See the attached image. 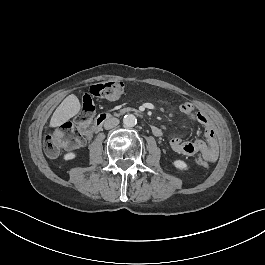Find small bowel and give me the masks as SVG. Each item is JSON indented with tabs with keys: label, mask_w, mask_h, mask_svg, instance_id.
<instances>
[{
	"label": "small bowel",
	"mask_w": 265,
	"mask_h": 265,
	"mask_svg": "<svg viewBox=\"0 0 265 265\" xmlns=\"http://www.w3.org/2000/svg\"><path fill=\"white\" fill-rule=\"evenodd\" d=\"M179 110L191 120L204 127L207 143L202 140L183 141L179 137H174L169 142L170 148L174 152L186 156L201 154L208 163L215 162L218 157V146L215 132L210 120L203 113L196 110L190 102H181L179 104Z\"/></svg>",
	"instance_id": "c3829d8e"
}]
</instances>
